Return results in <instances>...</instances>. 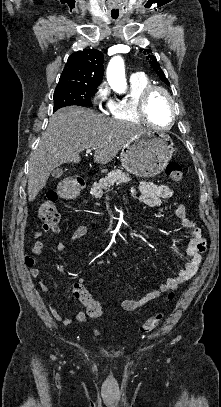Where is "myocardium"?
I'll use <instances>...</instances> for the list:
<instances>
[{
    "label": "myocardium",
    "instance_id": "f54148a6",
    "mask_svg": "<svg viewBox=\"0 0 221 407\" xmlns=\"http://www.w3.org/2000/svg\"><path fill=\"white\" fill-rule=\"evenodd\" d=\"M157 93H161L163 94L171 107V119L170 122L167 126L165 127H157L153 125V122L151 121L149 114H148V105L149 102L151 100V98L157 94ZM175 109H176V105H175V101L173 99V97L171 96V94L163 87L161 86H151L148 89H146L143 94L141 95L139 102L137 104V115L139 116V118L154 126V128L161 130V131H166L169 130L173 127L175 120H176V114H175Z\"/></svg>",
    "mask_w": 221,
    "mask_h": 407
}]
</instances>
